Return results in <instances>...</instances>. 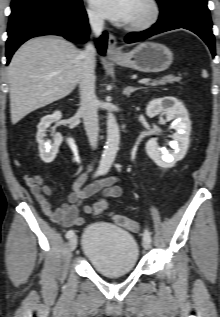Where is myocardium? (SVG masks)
Returning a JSON list of instances; mask_svg holds the SVG:
<instances>
[{
  "mask_svg": "<svg viewBox=\"0 0 220 317\" xmlns=\"http://www.w3.org/2000/svg\"><path fill=\"white\" fill-rule=\"evenodd\" d=\"M146 4L147 14L134 22L128 23L125 27L129 31H142L154 26L161 16V6L158 0H143Z\"/></svg>",
  "mask_w": 220,
  "mask_h": 317,
  "instance_id": "myocardium-1",
  "label": "myocardium"
}]
</instances>
